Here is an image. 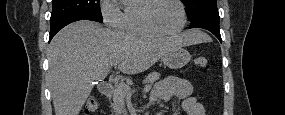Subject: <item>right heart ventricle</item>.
I'll use <instances>...</instances> for the list:
<instances>
[{
	"label": "right heart ventricle",
	"mask_w": 285,
	"mask_h": 115,
	"mask_svg": "<svg viewBox=\"0 0 285 115\" xmlns=\"http://www.w3.org/2000/svg\"><path fill=\"white\" fill-rule=\"evenodd\" d=\"M147 1L137 0L126 5L121 15L119 28L132 36L142 38L154 37L155 34L146 28L142 19V9Z\"/></svg>",
	"instance_id": "obj_1"
}]
</instances>
